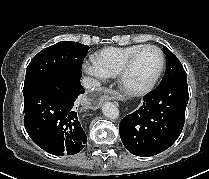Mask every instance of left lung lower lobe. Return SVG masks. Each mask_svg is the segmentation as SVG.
<instances>
[{"label": "left lung lower lobe", "instance_id": "0a47b994", "mask_svg": "<svg viewBox=\"0 0 209 179\" xmlns=\"http://www.w3.org/2000/svg\"><path fill=\"white\" fill-rule=\"evenodd\" d=\"M188 99L187 78L158 86L147 94L140 109L119 124L127 150L148 157L168 149L183 129Z\"/></svg>", "mask_w": 209, "mask_h": 179}]
</instances>
